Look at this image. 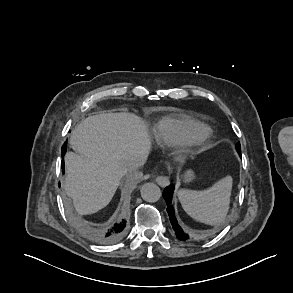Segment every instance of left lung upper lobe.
Listing matches in <instances>:
<instances>
[{
    "label": "left lung upper lobe",
    "mask_w": 293,
    "mask_h": 293,
    "mask_svg": "<svg viewBox=\"0 0 293 293\" xmlns=\"http://www.w3.org/2000/svg\"><path fill=\"white\" fill-rule=\"evenodd\" d=\"M236 149H237L238 152H241L240 143H238V144L236 145Z\"/></svg>",
    "instance_id": "5c2ea615"
}]
</instances>
